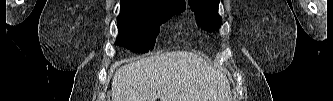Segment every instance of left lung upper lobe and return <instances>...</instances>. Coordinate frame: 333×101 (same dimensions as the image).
<instances>
[{
  "mask_svg": "<svg viewBox=\"0 0 333 101\" xmlns=\"http://www.w3.org/2000/svg\"><path fill=\"white\" fill-rule=\"evenodd\" d=\"M220 0H189L199 26L209 31L218 30L221 17L218 14Z\"/></svg>",
  "mask_w": 333,
  "mask_h": 101,
  "instance_id": "5c2ea615",
  "label": "left lung upper lobe"
}]
</instances>
